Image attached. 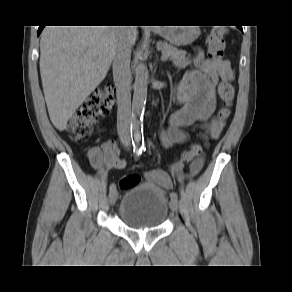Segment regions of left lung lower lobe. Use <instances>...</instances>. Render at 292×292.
<instances>
[{"label": "left lung lower lobe", "mask_w": 292, "mask_h": 292, "mask_svg": "<svg viewBox=\"0 0 292 292\" xmlns=\"http://www.w3.org/2000/svg\"><path fill=\"white\" fill-rule=\"evenodd\" d=\"M238 28H239L241 31H243L242 28H241V26H238Z\"/></svg>", "instance_id": "1"}]
</instances>
